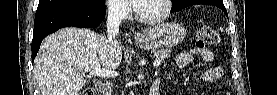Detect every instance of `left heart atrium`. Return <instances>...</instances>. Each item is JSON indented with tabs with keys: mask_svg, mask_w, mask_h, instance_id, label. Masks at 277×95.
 Returning <instances> with one entry per match:
<instances>
[{
	"mask_svg": "<svg viewBox=\"0 0 277 95\" xmlns=\"http://www.w3.org/2000/svg\"><path fill=\"white\" fill-rule=\"evenodd\" d=\"M127 2L132 3L133 1L132 0H127Z\"/></svg>",
	"mask_w": 277,
	"mask_h": 95,
	"instance_id": "left-heart-atrium-1",
	"label": "left heart atrium"
}]
</instances>
